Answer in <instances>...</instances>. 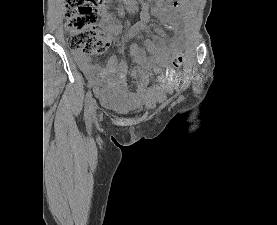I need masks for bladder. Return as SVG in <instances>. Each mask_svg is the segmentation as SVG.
<instances>
[{
	"label": "bladder",
	"instance_id": "1",
	"mask_svg": "<svg viewBox=\"0 0 277 225\" xmlns=\"http://www.w3.org/2000/svg\"><path fill=\"white\" fill-rule=\"evenodd\" d=\"M111 108L122 114H135L143 110L138 105L129 103L113 104Z\"/></svg>",
	"mask_w": 277,
	"mask_h": 225
}]
</instances>
